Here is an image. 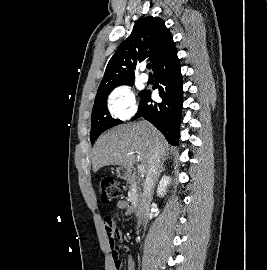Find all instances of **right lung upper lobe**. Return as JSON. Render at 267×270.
<instances>
[{"label": "right lung upper lobe", "instance_id": "cb5924a9", "mask_svg": "<svg viewBox=\"0 0 267 270\" xmlns=\"http://www.w3.org/2000/svg\"><path fill=\"white\" fill-rule=\"evenodd\" d=\"M174 44L161 18L138 20L130 36L109 60L97 92L134 81V69L145 58L150 59L154 70L158 61Z\"/></svg>", "mask_w": 267, "mask_h": 270}]
</instances>
